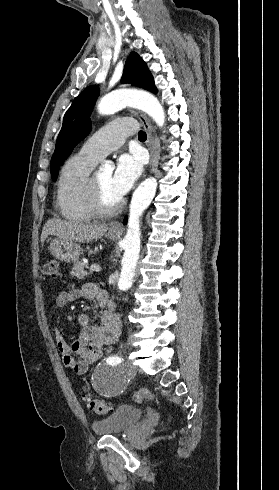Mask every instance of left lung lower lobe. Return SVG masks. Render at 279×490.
<instances>
[{
  "mask_svg": "<svg viewBox=\"0 0 279 490\" xmlns=\"http://www.w3.org/2000/svg\"><path fill=\"white\" fill-rule=\"evenodd\" d=\"M126 222H127V220H126V218H125L124 223H126Z\"/></svg>",
  "mask_w": 279,
  "mask_h": 490,
  "instance_id": "0a47b994",
  "label": "left lung lower lobe"
}]
</instances>
